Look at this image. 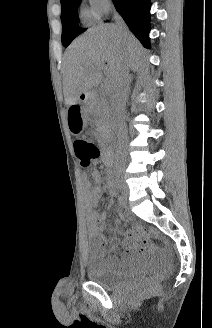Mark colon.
<instances>
[{"label": "colon", "instance_id": "obj_1", "mask_svg": "<svg viewBox=\"0 0 212 328\" xmlns=\"http://www.w3.org/2000/svg\"><path fill=\"white\" fill-rule=\"evenodd\" d=\"M74 151L76 157L83 167H88L100 155L98 147L93 142L84 137H77L74 140ZM151 288L152 286L149 285L145 288V291H149Z\"/></svg>", "mask_w": 212, "mask_h": 328}]
</instances>
